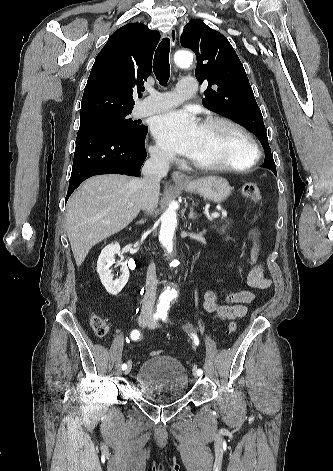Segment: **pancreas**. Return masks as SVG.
I'll return each instance as SVG.
<instances>
[{
    "mask_svg": "<svg viewBox=\"0 0 333 471\" xmlns=\"http://www.w3.org/2000/svg\"><path fill=\"white\" fill-rule=\"evenodd\" d=\"M232 225V220L222 217L220 221H217L212 226L213 229L217 230L219 233H225L227 229Z\"/></svg>",
    "mask_w": 333,
    "mask_h": 471,
    "instance_id": "cf45deb5",
    "label": "pancreas"
}]
</instances>
